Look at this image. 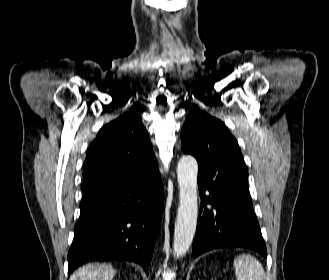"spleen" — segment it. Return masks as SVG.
I'll return each mask as SVG.
<instances>
[{"instance_id": "3e777b00", "label": "spleen", "mask_w": 329, "mask_h": 280, "mask_svg": "<svg viewBox=\"0 0 329 280\" xmlns=\"http://www.w3.org/2000/svg\"><path fill=\"white\" fill-rule=\"evenodd\" d=\"M237 280H264L262 265L250 255H239L234 260Z\"/></svg>"}]
</instances>
